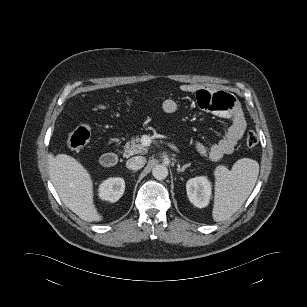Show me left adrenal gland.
Returning <instances> with one entry per match:
<instances>
[{
	"label": "left adrenal gland",
	"instance_id": "left-adrenal-gland-1",
	"mask_svg": "<svg viewBox=\"0 0 307 307\" xmlns=\"http://www.w3.org/2000/svg\"><path fill=\"white\" fill-rule=\"evenodd\" d=\"M190 166H191V163L185 164V165H183L182 167L178 166L177 172H178V173L184 172L185 169L188 168V167H190Z\"/></svg>",
	"mask_w": 307,
	"mask_h": 307
}]
</instances>
